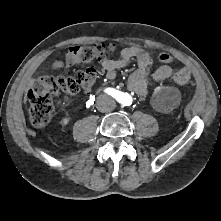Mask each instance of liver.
Here are the masks:
<instances>
[{
	"instance_id": "6515ba94",
	"label": "liver",
	"mask_w": 221,
	"mask_h": 221,
	"mask_svg": "<svg viewBox=\"0 0 221 221\" xmlns=\"http://www.w3.org/2000/svg\"><path fill=\"white\" fill-rule=\"evenodd\" d=\"M32 84H33V80L30 81L28 88H30L32 86ZM26 101H27V99H26V96H25L24 103H26Z\"/></svg>"
}]
</instances>
